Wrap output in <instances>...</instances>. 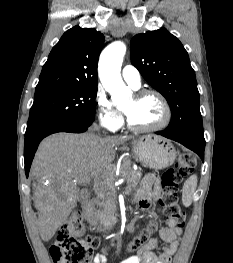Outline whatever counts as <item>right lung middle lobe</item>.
<instances>
[{"label": "right lung middle lobe", "instance_id": "obj_1", "mask_svg": "<svg viewBox=\"0 0 233 263\" xmlns=\"http://www.w3.org/2000/svg\"><path fill=\"white\" fill-rule=\"evenodd\" d=\"M97 86H76L34 96L25 134L53 123L94 117Z\"/></svg>", "mask_w": 233, "mask_h": 263}]
</instances>
